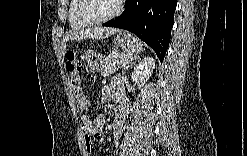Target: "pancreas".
I'll return each mask as SVG.
<instances>
[{
    "label": "pancreas",
    "instance_id": "cf45deb5",
    "mask_svg": "<svg viewBox=\"0 0 247 156\" xmlns=\"http://www.w3.org/2000/svg\"><path fill=\"white\" fill-rule=\"evenodd\" d=\"M131 59V56L125 53L112 52L103 60V66L100 69L101 76L108 77L114 74L119 68L125 66Z\"/></svg>",
    "mask_w": 247,
    "mask_h": 156
}]
</instances>
